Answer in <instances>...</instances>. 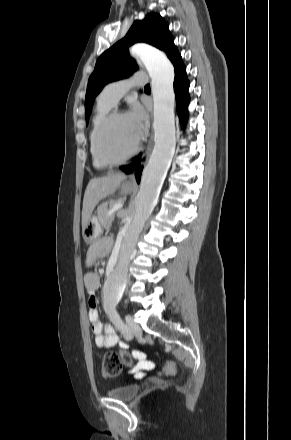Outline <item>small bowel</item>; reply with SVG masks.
I'll return each instance as SVG.
<instances>
[{"label": "small bowel", "instance_id": "small-bowel-1", "mask_svg": "<svg viewBox=\"0 0 291 440\" xmlns=\"http://www.w3.org/2000/svg\"><path fill=\"white\" fill-rule=\"evenodd\" d=\"M112 248V241L109 239H101L95 242L87 252L86 263L88 265L95 264L101 257L106 256ZM85 287L88 292V306H89V321L92 326V331L95 334V343L101 348H112L119 345L122 348H126L127 345L120 342L114 328L111 325H104L98 310V301L95 293L100 285V279L98 274L89 272L84 277ZM138 358V362L131 370L134 373H144L152 370L154 364L147 361L143 355H134Z\"/></svg>", "mask_w": 291, "mask_h": 440}]
</instances>
